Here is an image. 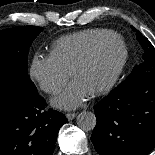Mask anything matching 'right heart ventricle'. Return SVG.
<instances>
[{"mask_svg":"<svg viewBox=\"0 0 155 155\" xmlns=\"http://www.w3.org/2000/svg\"><path fill=\"white\" fill-rule=\"evenodd\" d=\"M113 33L109 29L93 28L62 36L52 43L50 55L71 73L96 43Z\"/></svg>","mask_w":155,"mask_h":155,"instance_id":"e07e8e85","label":"right heart ventricle"}]
</instances>
